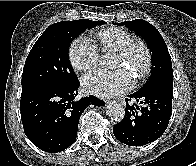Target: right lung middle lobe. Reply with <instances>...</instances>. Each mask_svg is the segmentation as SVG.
<instances>
[{"instance_id": "1", "label": "right lung middle lobe", "mask_w": 196, "mask_h": 166, "mask_svg": "<svg viewBox=\"0 0 196 166\" xmlns=\"http://www.w3.org/2000/svg\"><path fill=\"white\" fill-rule=\"evenodd\" d=\"M105 23L80 19L50 25L36 41L26 59L22 85L42 82L68 87L78 82L68 57L70 43L86 28Z\"/></svg>"}]
</instances>
